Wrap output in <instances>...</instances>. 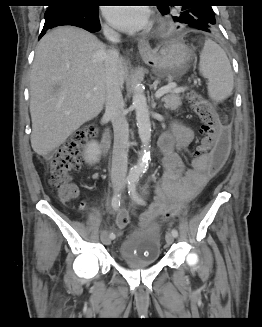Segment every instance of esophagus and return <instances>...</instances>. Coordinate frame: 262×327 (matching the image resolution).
<instances>
[{"instance_id": "obj_1", "label": "esophagus", "mask_w": 262, "mask_h": 327, "mask_svg": "<svg viewBox=\"0 0 262 327\" xmlns=\"http://www.w3.org/2000/svg\"><path fill=\"white\" fill-rule=\"evenodd\" d=\"M139 53L141 56H151L153 54L152 48L149 44V42L145 39H142L138 44Z\"/></svg>"}]
</instances>
